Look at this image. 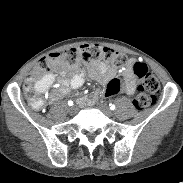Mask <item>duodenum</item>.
Here are the masks:
<instances>
[{
	"label": "duodenum",
	"mask_w": 183,
	"mask_h": 183,
	"mask_svg": "<svg viewBox=\"0 0 183 183\" xmlns=\"http://www.w3.org/2000/svg\"><path fill=\"white\" fill-rule=\"evenodd\" d=\"M99 96L100 92L98 90H95L93 94L89 97L81 96L79 98V101L82 106L88 105L89 107H92L94 104L98 102Z\"/></svg>",
	"instance_id": "obj_1"
}]
</instances>
